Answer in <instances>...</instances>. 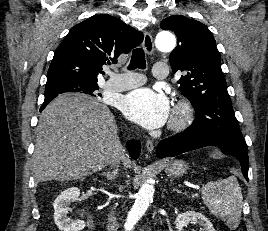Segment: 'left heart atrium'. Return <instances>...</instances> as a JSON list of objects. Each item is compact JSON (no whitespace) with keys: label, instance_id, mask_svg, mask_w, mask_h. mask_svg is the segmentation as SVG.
Masks as SVG:
<instances>
[{"label":"left heart atrium","instance_id":"obj_1","mask_svg":"<svg viewBox=\"0 0 268 231\" xmlns=\"http://www.w3.org/2000/svg\"><path fill=\"white\" fill-rule=\"evenodd\" d=\"M122 110L129 120L148 129L164 125L170 114L167 97L150 88H140L127 94L122 102Z\"/></svg>","mask_w":268,"mask_h":231}]
</instances>
